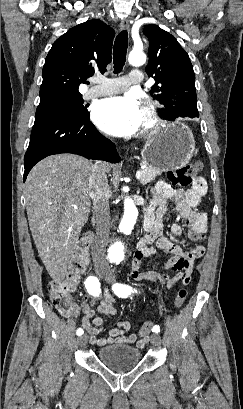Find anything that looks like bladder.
I'll use <instances>...</instances> for the list:
<instances>
[{
  "label": "bladder",
  "instance_id": "1",
  "mask_svg": "<svg viewBox=\"0 0 243 409\" xmlns=\"http://www.w3.org/2000/svg\"><path fill=\"white\" fill-rule=\"evenodd\" d=\"M98 361L113 371L129 370L141 360L140 349L121 343L107 345L97 350Z\"/></svg>",
  "mask_w": 243,
  "mask_h": 409
}]
</instances>
